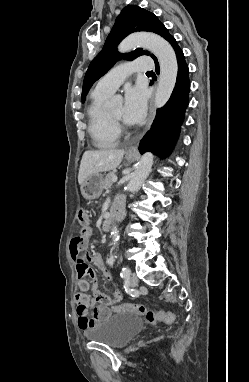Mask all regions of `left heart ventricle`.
I'll use <instances>...</instances> for the list:
<instances>
[{"label": "left heart ventricle", "instance_id": "left-heart-ventricle-1", "mask_svg": "<svg viewBox=\"0 0 249 382\" xmlns=\"http://www.w3.org/2000/svg\"><path fill=\"white\" fill-rule=\"evenodd\" d=\"M114 118L116 119H119V120H122L123 119V107L122 106H118L116 108H114L113 110H111L109 112Z\"/></svg>", "mask_w": 249, "mask_h": 382}]
</instances>
